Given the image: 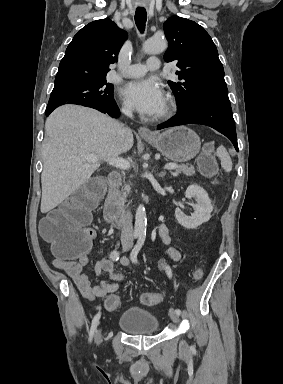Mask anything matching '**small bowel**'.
Here are the masks:
<instances>
[{"mask_svg":"<svg viewBox=\"0 0 283 384\" xmlns=\"http://www.w3.org/2000/svg\"><path fill=\"white\" fill-rule=\"evenodd\" d=\"M158 232L162 241L169 246L171 238L167 226L159 224ZM167 255L175 261H179L181 258L180 253L170 246L167 249ZM52 262L56 268L64 271L73 280L82 296L88 300L104 298L115 293L125 279V276L122 273L114 271L112 260L106 257L98 261L94 267L93 275L98 280V283L95 285L92 283L91 277L83 273V268L88 263L87 256H82L76 261H68L56 256L53 258ZM121 264L125 267H129L130 261L128 258H122ZM103 274H107L108 280L103 278Z\"/></svg>","mask_w":283,"mask_h":384,"instance_id":"1","label":"small bowel"}]
</instances>
